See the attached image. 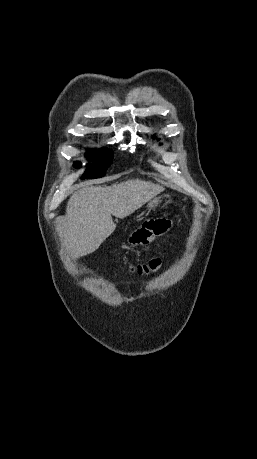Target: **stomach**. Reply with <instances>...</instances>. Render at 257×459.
Returning a JSON list of instances; mask_svg holds the SVG:
<instances>
[{
  "instance_id": "stomach-1",
  "label": "stomach",
  "mask_w": 257,
  "mask_h": 459,
  "mask_svg": "<svg viewBox=\"0 0 257 459\" xmlns=\"http://www.w3.org/2000/svg\"><path fill=\"white\" fill-rule=\"evenodd\" d=\"M159 202H160L159 198L151 200L147 205L148 210L150 211L151 209L155 208Z\"/></svg>"
}]
</instances>
